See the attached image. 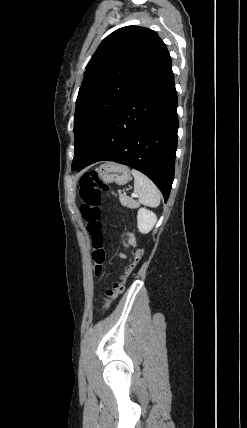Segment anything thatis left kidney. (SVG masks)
<instances>
[{"mask_svg": "<svg viewBox=\"0 0 247 428\" xmlns=\"http://www.w3.org/2000/svg\"><path fill=\"white\" fill-rule=\"evenodd\" d=\"M157 221V217L155 213L146 209L140 208L137 214V226L141 233L147 234L152 230L155 223Z\"/></svg>", "mask_w": 247, "mask_h": 428, "instance_id": "5707ae66", "label": "left kidney"}]
</instances>
